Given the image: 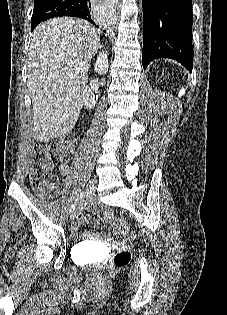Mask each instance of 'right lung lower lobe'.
<instances>
[{
	"label": "right lung lower lobe",
	"instance_id": "obj_1",
	"mask_svg": "<svg viewBox=\"0 0 227 315\" xmlns=\"http://www.w3.org/2000/svg\"><path fill=\"white\" fill-rule=\"evenodd\" d=\"M91 1L90 0H75L73 4L63 10L56 11L57 16H72L88 20L93 23L91 19Z\"/></svg>",
	"mask_w": 227,
	"mask_h": 315
}]
</instances>
